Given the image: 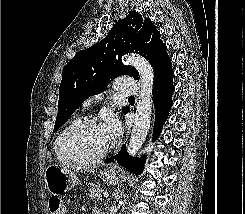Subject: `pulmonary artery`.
I'll use <instances>...</instances> for the list:
<instances>
[{"mask_svg":"<svg viewBox=\"0 0 245 214\" xmlns=\"http://www.w3.org/2000/svg\"><path fill=\"white\" fill-rule=\"evenodd\" d=\"M111 87L115 91L128 96H134L138 91L137 82L133 79L118 78L112 83ZM99 99H101V95L89 98L84 102L83 106L89 107L94 101Z\"/></svg>","mask_w":245,"mask_h":214,"instance_id":"pulmonary-artery-1","label":"pulmonary artery"}]
</instances>
